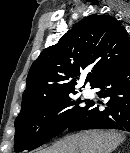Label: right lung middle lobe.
Instances as JSON below:
<instances>
[{"instance_id": "dd1d6c3e", "label": "right lung middle lobe", "mask_w": 130, "mask_h": 153, "mask_svg": "<svg viewBox=\"0 0 130 153\" xmlns=\"http://www.w3.org/2000/svg\"><path fill=\"white\" fill-rule=\"evenodd\" d=\"M88 101H74L67 95L19 115L15 120V151L33 150L66 130L85 108L78 104Z\"/></svg>"}]
</instances>
